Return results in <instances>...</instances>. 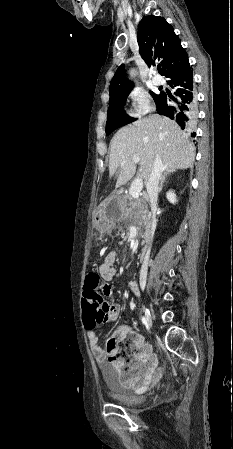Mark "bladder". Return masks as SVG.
Returning a JSON list of instances; mask_svg holds the SVG:
<instances>
[{
  "label": "bladder",
  "mask_w": 233,
  "mask_h": 449,
  "mask_svg": "<svg viewBox=\"0 0 233 449\" xmlns=\"http://www.w3.org/2000/svg\"><path fill=\"white\" fill-rule=\"evenodd\" d=\"M108 394L122 406H136L142 402L140 395L135 394L118 382H113L112 379L108 381Z\"/></svg>",
  "instance_id": "31cf9c89"
}]
</instances>
